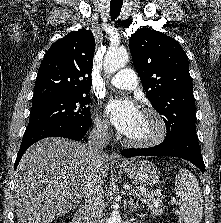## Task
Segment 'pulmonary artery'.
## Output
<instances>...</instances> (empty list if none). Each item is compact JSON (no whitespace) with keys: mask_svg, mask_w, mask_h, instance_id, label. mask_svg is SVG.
I'll list each match as a JSON object with an SVG mask.
<instances>
[{"mask_svg":"<svg viewBox=\"0 0 221 223\" xmlns=\"http://www.w3.org/2000/svg\"><path fill=\"white\" fill-rule=\"evenodd\" d=\"M109 84L120 89H134L138 86V77L132 69H122L109 79Z\"/></svg>","mask_w":221,"mask_h":223,"instance_id":"obj_1","label":"pulmonary artery"}]
</instances>
